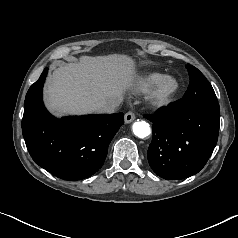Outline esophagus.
<instances>
[{
  "instance_id": "obj_1",
  "label": "esophagus",
  "mask_w": 238,
  "mask_h": 238,
  "mask_svg": "<svg viewBox=\"0 0 238 238\" xmlns=\"http://www.w3.org/2000/svg\"><path fill=\"white\" fill-rule=\"evenodd\" d=\"M135 119V113L133 111H129L125 114L124 121L125 123H131Z\"/></svg>"
}]
</instances>
